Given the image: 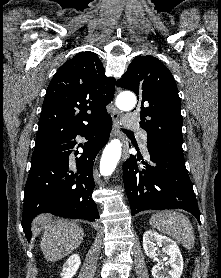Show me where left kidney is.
<instances>
[{
  "instance_id": "obj_1",
  "label": "left kidney",
  "mask_w": 221,
  "mask_h": 278,
  "mask_svg": "<svg viewBox=\"0 0 221 278\" xmlns=\"http://www.w3.org/2000/svg\"><path fill=\"white\" fill-rule=\"evenodd\" d=\"M163 246V251L170 256L165 265H169L171 270L162 271L163 262L157 263L152 268V276L154 278H180L183 271V258L178 245L170 238L160 235L157 232L146 231L143 235V249L148 257L157 256V247Z\"/></svg>"
}]
</instances>
